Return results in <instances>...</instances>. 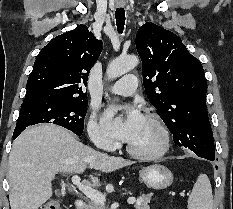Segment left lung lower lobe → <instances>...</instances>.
I'll return each mask as SVG.
<instances>
[{"label": "left lung lower lobe", "instance_id": "left-lung-lower-lobe-1", "mask_svg": "<svg viewBox=\"0 0 233 209\" xmlns=\"http://www.w3.org/2000/svg\"><path fill=\"white\" fill-rule=\"evenodd\" d=\"M203 158V157H202ZM205 159H208V160H211V161H213L214 159L213 158H205Z\"/></svg>", "mask_w": 233, "mask_h": 209}]
</instances>
